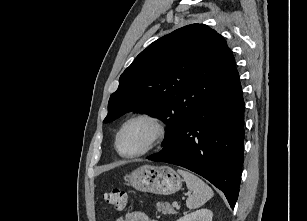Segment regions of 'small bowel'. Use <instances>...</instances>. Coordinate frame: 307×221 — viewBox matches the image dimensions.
<instances>
[{
    "mask_svg": "<svg viewBox=\"0 0 307 221\" xmlns=\"http://www.w3.org/2000/svg\"><path fill=\"white\" fill-rule=\"evenodd\" d=\"M116 221H158V220L149 218L143 212L131 211L124 215L118 216Z\"/></svg>",
    "mask_w": 307,
    "mask_h": 221,
    "instance_id": "c3829d8e",
    "label": "small bowel"
}]
</instances>
